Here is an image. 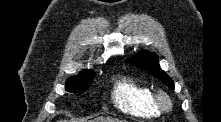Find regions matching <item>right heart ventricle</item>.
<instances>
[{
	"label": "right heart ventricle",
	"mask_w": 221,
	"mask_h": 122,
	"mask_svg": "<svg viewBox=\"0 0 221 122\" xmlns=\"http://www.w3.org/2000/svg\"><path fill=\"white\" fill-rule=\"evenodd\" d=\"M112 100L119 110L132 116L154 118L160 115L152 89L133 77L125 76L114 83Z\"/></svg>",
	"instance_id": "e07e8e85"
}]
</instances>
